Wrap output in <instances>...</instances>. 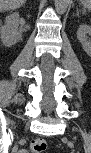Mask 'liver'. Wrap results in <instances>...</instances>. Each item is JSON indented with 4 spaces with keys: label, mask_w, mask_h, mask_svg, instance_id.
<instances>
[{
    "label": "liver",
    "mask_w": 91,
    "mask_h": 153,
    "mask_svg": "<svg viewBox=\"0 0 91 153\" xmlns=\"http://www.w3.org/2000/svg\"><path fill=\"white\" fill-rule=\"evenodd\" d=\"M26 0H1L0 6L2 10H14L21 7Z\"/></svg>",
    "instance_id": "obj_1"
}]
</instances>
